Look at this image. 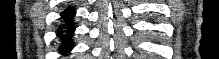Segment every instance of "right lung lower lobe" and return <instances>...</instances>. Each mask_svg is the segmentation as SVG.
Listing matches in <instances>:
<instances>
[{"label":"right lung lower lobe","instance_id":"obj_1","mask_svg":"<svg viewBox=\"0 0 219 59\" xmlns=\"http://www.w3.org/2000/svg\"><path fill=\"white\" fill-rule=\"evenodd\" d=\"M74 15L75 9L72 8H67L61 13L64 22V24L58 29V36L64 41L60 49L61 53L69 52L72 48L71 37L74 32V26L72 24Z\"/></svg>","mask_w":219,"mask_h":59}]
</instances>
